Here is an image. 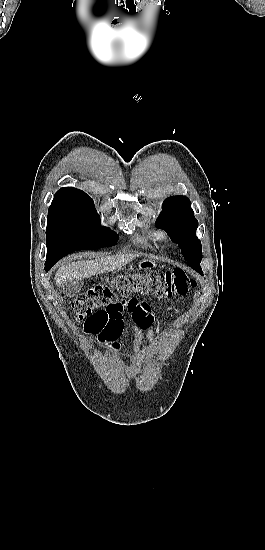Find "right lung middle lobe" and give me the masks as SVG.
<instances>
[{
	"instance_id": "1",
	"label": "right lung middle lobe",
	"mask_w": 265,
	"mask_h": 550,
	"mask_svg": "<svg viewBox=\"0 0 265 550\" xmlns=\"http://www.w3.org/2000/svg\"><path fill=\"white\" fill-rule=\"evenodd\" d=\"M47 264L78 250H94L114 246L118 236L100 225L93 200L52 203L46 230Z\"/></svg>"
}]
</instances>
